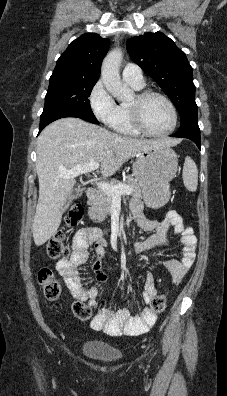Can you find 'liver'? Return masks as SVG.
<instances>
[{
    "label": "liver",
    "instance_id": "obj_1",
    "mask_svg": "<svg viewBox=\"0 0 227 396\" xmlns=\"http://www.w3.org/2000/svg\"><path fill=\"white\" fill-rule=\"evenodd\" d=\"M176 140H144L119 136L79 118H62L48 125L37 140L36 171L39 198L32 224L36 246L54 236L60 226L62 209L76 184L60 173L79 164L98 162L108 177L130 158L156 146H175Z\"/></svg>",
    "mask_w": 227,
    "mask_h": 396
}]
</instances>
